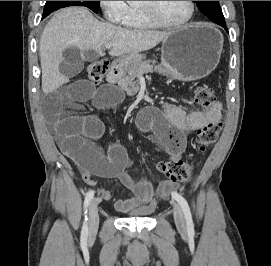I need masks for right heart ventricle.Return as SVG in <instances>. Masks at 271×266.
<instances>
[{
	"label": "right heart ventricle",
	"instance_id": "e07e8e85",
	"mask_svg": "<svg viewBox=\"0 0 271 266\" xmlns=\"http://www.w3.org/2000/svg\"><path fill=\"white\" fill-rule=\"evenodd\" d=\"M124 25L134 29H149L157 26L144 15L139 6L134 5L128 6Z\"/></svg>",
	"mask_w": 271,
	"mask_h": 266
}]
</instances>
